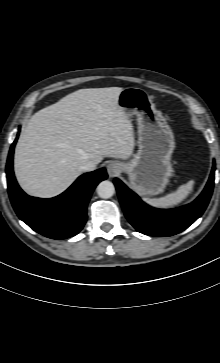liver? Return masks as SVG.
<instances>
[{
  "mask_svg": "<svg viewBox=\"0 0 220 363\" xmlns=\"http://www.w3.org/2000/svg\"><path fill=\"white\" fill-rule=\"evenodd\" d=\"M123 88L80 89L36 112L15 148L14 171L29 195L51 198L65 191L88 161L128 159L135 139L118 105Z\"/></svg>",
  "mask_w": 220,
  "mask_h": 363,
  "instance_id": "liver-1",
  "label": "liver"
}]
</instances>
